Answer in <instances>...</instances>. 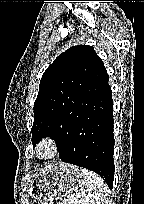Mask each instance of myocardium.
<instances>
[{
	"label": "myocardium",
	"mask_w": 144,
	"mask_h": 204,
	"mask_svg": "<svg viewBox=\"0 0 144 204\" xmlns=\"http://www.w3.org/2000/svg\"><path fill=\"white\" fill-rule=\"evenodd\" d=\"M46 153H43V151ZM61 153L60 143L51 136L43 137L36 145L35 154L40 161H51L59 156Z\"/></svg>",
	"instance_id": "myocardium-1"
}]
</instances>
